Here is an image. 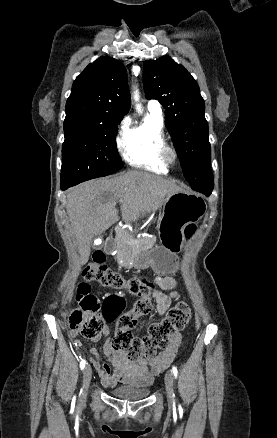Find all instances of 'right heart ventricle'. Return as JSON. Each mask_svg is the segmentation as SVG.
<instances>
[{"label": "right heart ventricle", "instance_id": "e07e8e85", "mask_svg": "<svg viewBox=\"0 0 277 438\" xmlns=\"http://www.w3.org/2000/svg\"><path fill=\"white\" fill-rule=\"evenodd\" d=\"M165 143L162 119L149 112L139 124L127 128L122 140V154L131 166L167 174L168 167L160 161L158 154Z\"/></svg>", "mask_w": 277, "mask_h": 438}]
</instances>
